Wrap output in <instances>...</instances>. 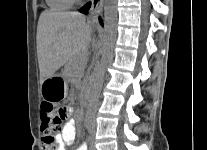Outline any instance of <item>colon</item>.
I'll list each match as a JSON object with an SVG mask.
<instances>
[{
  "label": "colon",
  "instance_id": "colon-1",
  "mask_svg": "<svg viewBox=\"0 0 207 150\" xmlns=\"http://www.w3.org/2000/svg\"><path fill=\"white\" fill-rule=\"evenodd\" d=\"M69 115L65 105H54L45 102L41 108V130L43 133L44 150H56L55 136Z\"/></svg>",
  "mask_w": 207,
  "mask_h": 150
}]
</instances>
